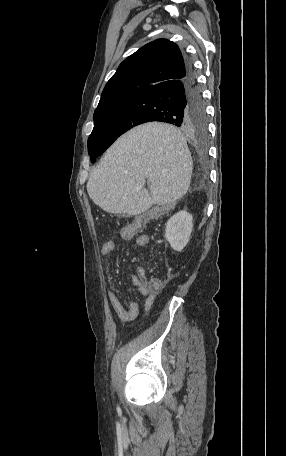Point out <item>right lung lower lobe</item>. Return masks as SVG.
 Segmentation results:
<instances>
[{"mask_svg":"<svg viewBox=\"0 0 286 456\" xmlns=\"http://www.w3.org/2000/svg\"><path fill=\"white\" fill-rule=\"evenodd\" d=\"M133 96L140 109V124L160 121L192 132L206 119L202 95L189 61L186 62L183 77L158 84Z\"/></svg>","mask_w":286,"mask_h":456,"instance_id":"98d812e1","label":"right lung lower lobe"}]
</instances>
